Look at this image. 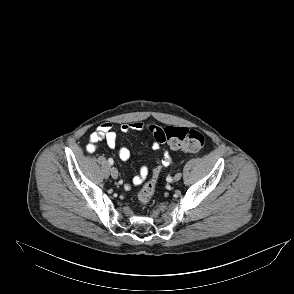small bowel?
I'll return each instance as SVG.
<instances>
[{
	"mask_svg": "<svg viewBox=\"0 0 294 294\" xmlns=\"http://www.w3.org/2000/svg\"><path fill=\"white\" fill-rule=\"evenodd\" d=\"M146 128H148V126L141 122L123 123L120 126V130L123 133H128L131 131L143 132ZM101 141H105L109 148H115L117 144V134L112 123H102L96 128L94 132L90 134L89 143L86 146V150L89 153L95 152L98 144ZM162 144L163 143L155 140L153 144V150H160ZM118 155L122 160H127L130 157V151L127 147L122 146L118 149ZM169 163L170 156L166 151H164L162 157L158 160L157 165L151 168L143 165L140 168L139 174L133 178L132 183L126 185L125 188L130 189L131 186L140 185L150 172H153L155 169H159L161 166H167Z\"/></svg>",
	"mask_w": 294,
	"mask_h": 294,
	"instance_id": "1",
	"label": "small bowel"
}]
</instances>
